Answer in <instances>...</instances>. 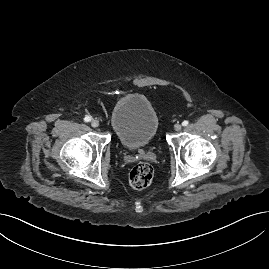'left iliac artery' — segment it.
<instances>
[{"label": "left iliac artery", "mask_w": 269, "mask_h": 269, "mask_svg": "<svg viewBox=\"0 0 269 269\" xmlns=\"http://www.w3.org/2000/svg\"><path fill=\"white\" fill-rule=\"evenodd\" d=\"M188 124H189V122L187 120H185V121L182 122V125L183 126H187Z\"/></svg>", "instance_id": "44dca946"}]
</instances>
